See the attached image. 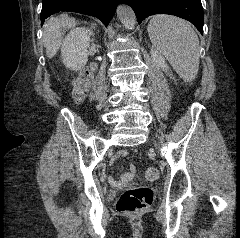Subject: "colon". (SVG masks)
<instances>
[{"label": "colon", "instance_id": "1", "mask_svg": "<svg viewBox=\"0 0 240 238\" xmlns=\"http://www.w3.org/2000/svg\"><path fill=\"white\" fill-rule=\"evenodd\" d=\"M94 68L88 66L79 71L74 78L71 87L72 98L76 102H81L94 78ZM145 177L148 180H155L159 177V170L155 167H150L145 172ZM153 201V192L149 188L128 189L119 197L116 209L125 214H136L151 205Z\"/></svg>", "mask_w": 240, "mask_h": 238}]
</instances>
